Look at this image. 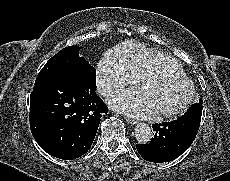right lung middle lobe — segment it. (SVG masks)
<instances>
[{"instance_id":"right-lung-middle-lobe-1","label":"right lung middle lobe","mask_w":230,"mask_h":181,"mask_svg":"<svg viewBox=\"0 0 230 181\" xmlns=\"http://www.w3.org/2000/svg\"><path fill=\"white\" fill-rule=\"evenodd\" d=\"M77 46H69L50 58L41 69L37 79L45 77L75 76L83 77L96 85V70L84 58L80 57Z\"/></svg>"}]
</instances>
